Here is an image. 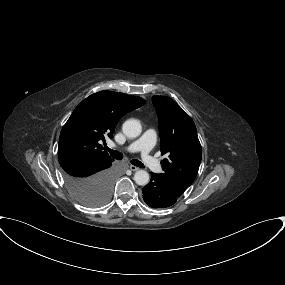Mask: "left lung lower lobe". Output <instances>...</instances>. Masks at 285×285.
Here are the masks:
<instances>
[{"instance_id":"left-lung-lower-lobe-1","label":"left lung lower lobe","mask_w":285,"mask_h":285,"mask_svg":"<svg viewBox=\"0 0 285 285\" xmlns=\"http://www.w3.org/2000/svg\"><path fill=\"white\" fill-rule=\"evenodd\" d=\"M142 192L144 201L152 208L169 207L182 195L166 178L155 173H151V180Z\"/></svg>"}]
</instances>
